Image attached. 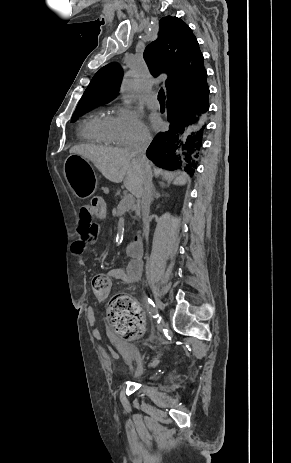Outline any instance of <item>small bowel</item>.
Wrapping results in <instances>:
<instances>
[{"label":"small bowel","mask_w":291,"mask_h":463,"mask_svg":"<svg viewBox=\"0 0 291 463\" xmlns=\"http://www.w3.org/2000/svg\"><path fill=\"white\" fill-rule=\"evenodd\" d=\"M97 215L94 208L90 205H84L80 208L78 214L77 238L73 241L71 250L78 257H82L90 244L98 237L99 225L93 221ZM142 273L141 259H134L129 262L125 269L114 268L107 272L110 278L121 280L128 283L137 282ZM90 326L93 330L96 329V321L94 318L90 320Z\"/></svg>","instance_id":"small-bowel-1"}]
</instances>
